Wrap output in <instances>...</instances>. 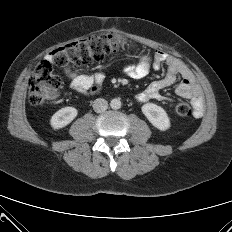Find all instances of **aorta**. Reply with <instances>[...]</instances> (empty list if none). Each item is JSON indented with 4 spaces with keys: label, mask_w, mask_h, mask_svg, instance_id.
Masks as SVG:
<instances>
[{
    "label": "aorta",
    "mask_w": 232,
    "mask_h": 232,
    "mask_svg": "<svg viewBox=\"0 0 232 232\" xmlns=\"http://www.w3.org/2000/svg\"><path fill=\"white\" fill-rule=\"evenodd\" d=\"M110 106L112 109H120L121 108V101L119 98H114L110 102Z\"/></svg>",
    "instance_id": "762f6f07"
}]
</instances>
